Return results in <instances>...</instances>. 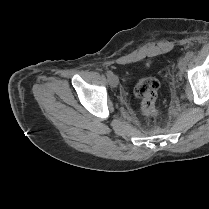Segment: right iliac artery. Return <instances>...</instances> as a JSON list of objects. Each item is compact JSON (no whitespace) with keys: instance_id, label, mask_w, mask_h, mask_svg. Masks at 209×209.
Returning <instances> with one entry per match:
<instances>
[{"instance_id":"82829eb1","label":"right iliac artery","mask_w":209,"mask_h":209,"mask_svg":"<svg viewBox=\"0 0 209 209\" xmlns=\"http://www.w3.org/2000/svg\"><path fill=\"white\" fill-rule=\"evenodd\" d=\"M112 74H113V73H112L111 71H107V72H106V75H107L108 78H109Z\"/></svg>"}]
</instances>
